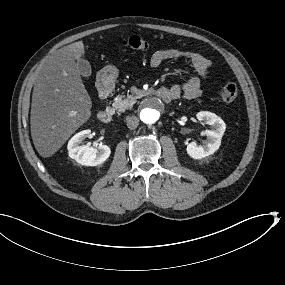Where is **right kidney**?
Segmentation results:
<instances>
[{"label": "right kidney", "mask_w": 285, "mask_h": 285, "mask_svg": "<svg viewBox=\"0 0 285 285\" xmlns=\"http://www.w3.org/2000/svg\"><path fill=\"white\" fill-rule=\"evenodd\" d=\"M90 135V130H84L68 142L69 157L85 167L103 164L111 155V149L107 145L100 146L98 150L92 146L81 145Z\"/></svg>", "instance_id": "1"}]
</instances>
